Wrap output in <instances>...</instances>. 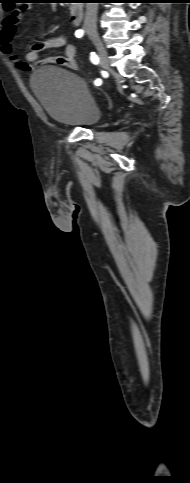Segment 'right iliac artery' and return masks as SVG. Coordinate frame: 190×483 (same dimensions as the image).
<instances>
[{"instance_id":"82829eb1","label":"right iliac artery","mask_w":190,"mask_h":483,"mask_svg":"<svg viewBox=\"0 0 190 483\" xmlns=\"http://www.w3.org/2000/svg\"><path fill=\"white\" fill-rule=\"evenodd\" d=\"M83 34H84V32H83V30H81V29L76 30V32H75V36H76L77 38H81V37L83 36ZM90 60H91V62H92L93 64H98V63H99V58H98V56L95 54V52H91V55H90ZM101 83H102L101 79H96V80H95V82H94V84H95L96 86L101 85Z\"/></svg>"}]
</instances>
